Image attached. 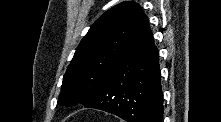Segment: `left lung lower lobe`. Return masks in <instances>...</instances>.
I'll return each mask as SVG.
<instances>
[{
    "label": "left lung lower lobe",
    "instance_id": "1",
    "mask_svg": "<svg viewBox=\"0 0 221 122\" xmlns=\"http://www.w3.org/2000/svg\"><path fill=\"white\" fill-rule=\"evenodd\" d=\"M158 59L148 18L140 8L120 58L85 107L115 114L127 122H162Z\"/></svg>",
    "mask_w": 221,
    "mask_h": 122
}]
</instances>
